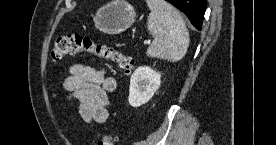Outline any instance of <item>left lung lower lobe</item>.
Here are the masks:
<instances>
[{
    "label": "left lung lower lobe",
    "instance_id": "left-lung-lower-lobe-1",
    "mask_svg": "<svg viewBox=\"0 0 276 145\" xmlns=\"http://www.w3.org/2000/svg\"><path fill=\"white\" fill-rule=\"evenodd\" d=\"M184 12L193 26L201 30L205 14L206 0H167Z\"/></svg>",
    "mask_w": 276,
    "mask_h": 145
}]
</instances>
